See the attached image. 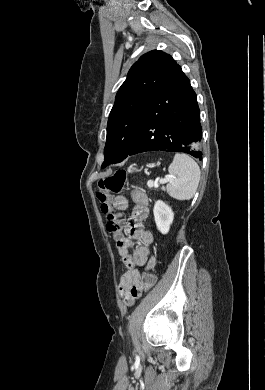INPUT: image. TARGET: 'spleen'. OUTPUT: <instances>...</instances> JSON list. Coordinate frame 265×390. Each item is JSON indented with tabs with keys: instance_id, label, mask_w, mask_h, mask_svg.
Instances as JSON below:
<instances>
[{
	"instance_id": "3e777b00",
	"label": "spleen",
	"mask_w": 265,
	"mask_h": 390,
	"mask_svg": "<svg viewBox=\"0 0 265 390\" xmlns=\"http://www.w3.org/2000/svg\"><path fill=\"white\" fill-rule=\"evenodd\" d=\"M168 172L173 177L166 187L169 195L178 200L191 199L200 180L198 164L188 155L176 154Z\"/></svg>"
}]
</instances>
